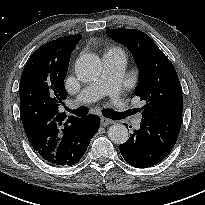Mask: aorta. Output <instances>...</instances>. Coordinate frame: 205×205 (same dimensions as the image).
<instances>
[{
  "label": "aorta",
  "instance_id": "aorta-1",
  "mask_svg": "<svg viewBox=\"0 0 205 205\" xmlns=\"http://www.w3.org/2000/svg\"><path fill=\"white\" fill-rule=\"evenodd\" d=\"M101 72V60L95 54H84L75 63L76 76L83 82L96 81ZM108 137L116 144H123L129 138L128 129L122 124H113L108 129Z\"/></svg>",
  "mask_w": 205,
  "mask_h": 205
}]
</instances>
